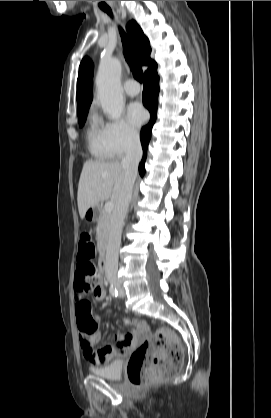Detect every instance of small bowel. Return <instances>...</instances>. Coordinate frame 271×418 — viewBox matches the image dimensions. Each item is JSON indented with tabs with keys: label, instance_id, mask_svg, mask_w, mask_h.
<instances>
[{
	"label": "small bowel",
	"instance_id": "c3829d8e",
	"mask_svg": "<svg viewBox=\"0 0 271 418\" xmlns=\"http://www.w3.org/2000/svg\"><path fill=\"white\" fill-rule=\"evenodd\" d=\"M92 291L96 302H102L105 297V289L102 282V272L94 267L92 262L77 261L76 273L73 279V298L75 304L73 313L77 314L76 321L79 327L80 344L83 354L94 366H102L113 359L124 355L128 349L137 344L138 338L144 330V324L134 318H125L124 324L133 326V333H117L115 338L117 346H103L96 348L101 334L98 331L100 325L94 312V302L88 294Z\"/></svg>",
	"mask_w": 271,
	"mask_h": 418
}]
</instances>
